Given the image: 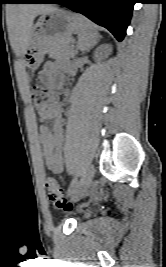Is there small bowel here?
Here are the masks:
<instances>
[{"label": "small bowel", "instance_id": "obj_1", "mask_svg": "<svg viewBox=\"0 0 166 267\" xmlns=\"http://www.w3.org/2000/svg\"><path fill=\"white\" fill-rule=\"evenodd\" d=\"M62 70L68 73L72 72L67 65L46 61L39 73V79L46 86L60 89L63 87ZM38 119L41 122L39 132L45 165L51 172L59 173L63 168L61 154L64 126L62 106L54 104L48 109L40 111ZM47 121H52V126L46 125Z\"/></svg>", "mask_w": 166, "mask_h": 267}]
</instances>
